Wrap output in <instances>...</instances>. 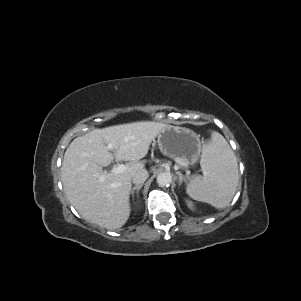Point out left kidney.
Wrapping results in <instances>:
<instances>
[{
  "label": "left kidney",
  "mask_w": 301,
  "mask_h": 301,
  "mask_svg": "<svg viewBox=\"0 0 301 301\" xmlns=\"http://www.w3.org/2000/svg\"><path fill=\"white\" fill-rule=\"evenodd\" d=\"M189 206H192L191 203L188 204Z\"/></svg>",
  "instance_id": "obj_1"
}]
</instances>
